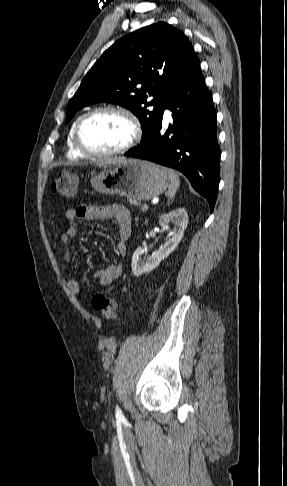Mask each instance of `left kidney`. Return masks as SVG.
<instances>
[{"label": "left kidney", "instance_id": "left-kidney-1", "mask_svg": "<svg viewBox=\"0 0 287 486\" xmlns=\"http://www.w3.org/2000/svg\"><path fill=\"white\" fill-rule=\"evenodd\" d=\"M173 223L175 231L168 234V239L153 255L141 256L147 251L143 247H138L132 256V273L138 277L155 269L162 260L167 258L178 246L183 238L184 231L188 225V214L184 208H178L159 217V225L163 230H169V224Z\"/></svg>", "mask_w": 287, "mask_h": 486}]
</instances>
